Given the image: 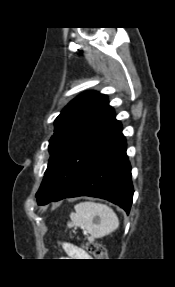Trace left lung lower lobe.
I'll return each mask as SVG.
<instances>
[{
	"label": "left lung lower lobe",
	"instance_id": "0a47b994",
	"mask_svg": "<svg viewBox=\"0 0 175 287\" xmlns=\"http://www.w3.org/2000/svg\"><path fill=\"white\" fill-rule=\"evenodd\" d=\"M133 192L126 139L121 132L96 155L88 168L52 201L92 196L117 204L129 213Z\"/></svg>",
	"mask_w": 175,
	"mask_h": 287
}]
</instances>
